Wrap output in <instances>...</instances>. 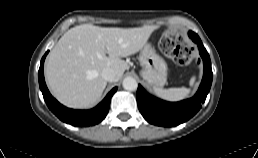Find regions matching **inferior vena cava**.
<instances>
[{
  "mask_svg": "<svg viewBox=\"0 0 258 158\" xmlns=\"http://www.w3.org/2000/svg\"><path fill=\"white\" fill-rule=\"evenodd\" d=\"M101 76L107 82L116 81V72L111 68H104L101 72Z\"/></svg>",
  "mask_w": 258,
  "mask_h": 158,
  "instance_id": "602c4592",
  "label": "inferior vena cava"
}]
</instances>
